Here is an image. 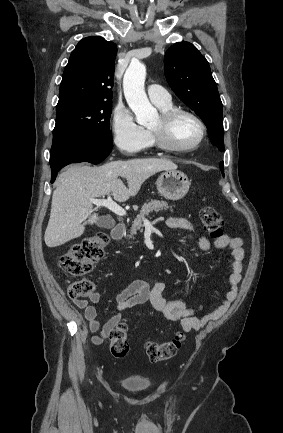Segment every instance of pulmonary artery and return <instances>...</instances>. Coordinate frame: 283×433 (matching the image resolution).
Returning a JSON list of instances; mask_svg holds the SVG:
<instances>
[{
    "label": "pulmonary artery",
    "mask_w": 283,
    "mask_h": 433,
    "mask_svg": "<svg viewBox=\"0 0 283 433\" xmlns=\"http://www.w3.org/2000/svg\"><path fill=\"white\" fill-rule=\"evenodd\" d=\"M146 90L148 97L156 105H166L171 102L170 94L159 85L150 84Z\"/></svg>",
    "instance_id": "1"
}]
</instances>
